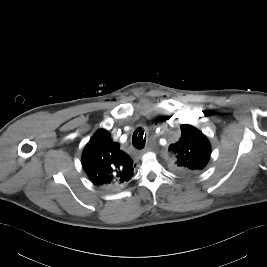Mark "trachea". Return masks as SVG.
I'll return each mask as SVG.
<instances>
[{
    "mask_svg": "<svg viewBox=\"0 0 267 267\" xmlns=\"http://www.w3.org/2000/svg\"><path fill=\"white\" fill-rule=\"evenodd\" d=\"M146 143V134L144 137V132L142 130L137 129L132 136V144L137 149L144 148Z\"/></svg>",
    "mask_w": 267,
    "mask_h": 267,
    "instance_id": "obj_1",
    "label": "trachea"
}]
</instances>
